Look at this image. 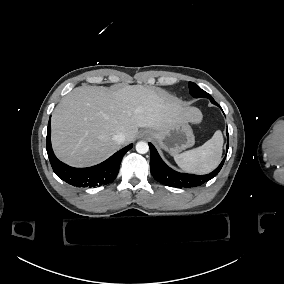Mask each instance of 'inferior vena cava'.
I'll use <instances>...</instances> for the list:
<instances>
[{
    "label": "inferior vena cava",
    "instance_id": "1",
    "mask_svg": "<svg viewBox=\"0 0 284 284\" xmlns=\"http://www.w3.org/2000/svg\"><path fill=\"white\" fill-rule=\"evenodd\" d=\"M113 139L119 144H122L125 141V135L123 133H117L113 136Z\"/></svg>",
    "mask_w": 284,
    "mask_h": 284
}]
</instances>
